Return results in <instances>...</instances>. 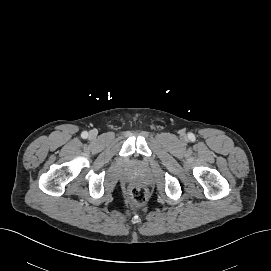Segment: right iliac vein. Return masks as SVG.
<instances>
[{"instance_id":"1","label":"right iliac vein","mask_w":271,"mask_h":271,"mask_svg":"<svg viewBox=\"0 0 271 271\" xmlns=\"http://www.w3.org/2000/svg\"><path fill=\"white\" fill-rule=\"evenodd\" d=\"M96 135H97V133H96V131H94V130L90 131V133H89V137H90L91 139H94V138L96 137Z\"/></svg>"}]
</instances>
